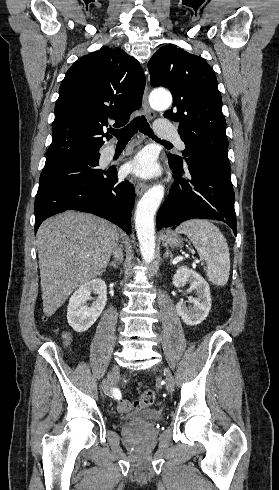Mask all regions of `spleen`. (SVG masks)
<instances>
[{
	"label": "spleen",
	"mask_w": 279,
	"mask_h": 490,
	"mask_svg": "<svg viewBox=\"0 0 279 490\" xmlns=\"http://www.w3.org/2000/svg\"><path fill=\"white\" fill-rule=\"evenodd\" d=\"M176 232L186 234L201 260H205L209 282L226 286L230 276V254L227 240L219 228L207 220H189L180 224Z\"/></svg>",
	"instance_id": "1"
}]
</instances>
